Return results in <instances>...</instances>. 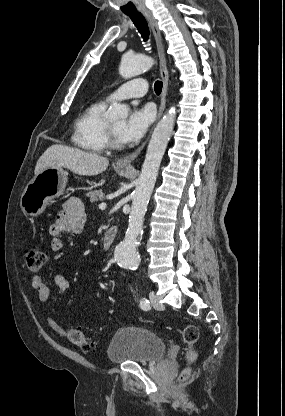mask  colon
<instances>
[{"label": "colon", "instance_id": "5ec220e1", "mask_svg": "<svg viewBox=\"0 0 285 416\" xmlns=\"http://www.w3.org/2000/svg\"><path fill=\"white\" fill-rule=\"evenodd\" d=\"M23 258L28 270L36 274L38 273L47 261V255L36 248H26L23 252ZM68 340L77 348L84 352L94 351L96 345L95 342L89 339L81 329L77 327H71L66 334ZM199 331L194 325H187L183 330V339L187 345L188 358H195V351L193 349L195 343L198 341ZM190 376L189 370H185L181 375V382H185Z\"/></svg>", "mask_w": 285, "mask_h": 416}]
</instances>
